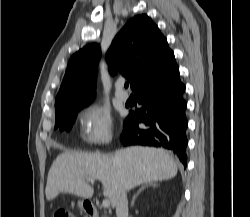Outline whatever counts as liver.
<instances>
[{
  "instance_id": "1",
  "label": "liver",
  "mask_w": 250,
  "mask_h": 217,
  "mask_svg": "<svg viewBox=\"0 0 250 217\" xmlns=\"http://www.w3.org/2000/svg\"><path fill=\"white\" fill-rule=\"evenodd\" d=\"M176 174V162L160 148L132 146L108 155L67 151L57 156L49 170L46 199L51 201L60 193L91 198L94 189L86 180L93 179L102 183L103 195L115 207L122 188L130 190Z\"/></svg>"
}]
</instances>
